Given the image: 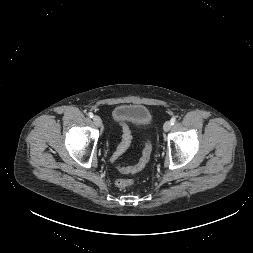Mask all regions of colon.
<instances>
[{
	"label": "colon",
	"instance_id": "1",
	"mask_svg": "<svg viewBox=\"0 0 253 253\" xmlns=\"http://www.w3.org/2000/svg\"><path fill=\"white\" fill-rule=\"evenodd\" d=\"M130 140H131V131L128 126L124 125L123 139H122L121 144L118 146L117 150L113 154V157H112L113 161H116L124 153V151L127 149L130 143ZM151 151H152L151 142H150V139L147 138L142 156L138 164L132 167H119V169L124 173H135L139 171L149 162ZM133 184H134L133 178H120L116 180V186L120 189H126Z\"/></svg>",
	"mask_w": 253,
	"mask_h": 253
}]
</instances>
